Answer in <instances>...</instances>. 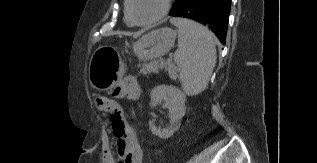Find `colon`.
Listing matches in <instances>:
<instances>
[{"label": "colon", "instance_id": "1", "mask_svg": "<svg viewBox=\"0 0 317 163\" xmlns=\"http://www.w3.org/2000/svg\"><path fill=\"white\" fill-rule=\"evenodd\" d=\"M95 105L99 110L109 112L112 129L116 133H121L125 127L124 114L121 107L104 95H98L95 98Z\"/></svg>", "mask_w": 317, "mask_h": 163}]
</instances>
